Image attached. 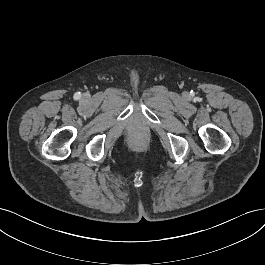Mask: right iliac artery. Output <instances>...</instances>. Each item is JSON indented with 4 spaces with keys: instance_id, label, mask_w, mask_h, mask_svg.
<instances>
[{
    "instance_id": "right-iliac-artery-1",
    "label": "right iliac artery",
    "mask_w": 265,
    "mask_h": 265,
    "mask_svg": "<svg viewBox=\"0 0 265 265\" xmlns=\"http://www.w3.org/2000/svg\"><path fill=\"white\" fill-rule=\"evenodd\" d=\"M74 97H75L76 99H78V98L80 97V93H76V94L74 95Z\"/></svg>"
}]
</instances>
